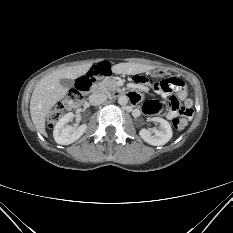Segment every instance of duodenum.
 <instances>
[{
    "label": "duodenum",
    "instance_id": "1",
    "mask_svg": "<svg viewBox=\"0 0 233 233\" xmlns=\"http://www.w3.org/2000/svg\"><path fill=\"white\" fill-rule=\"evenodd\" d=\"M109 71V66L107 64H100L98 68H93L90 72L86 74V80L88 82H93L99 75L100 73H107ZM91 91L92 93H100V86L97 84H94L91 86ZM119 94H123L122 92H119ZM129 98L133 101L134 100V95L129 94Z\"/></svg>",
    "mask_w": 233,
    "mask_h": 233
}]
</instances>
